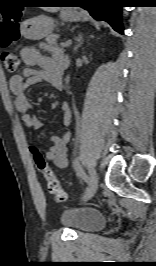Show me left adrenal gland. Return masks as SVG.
Instances as JSON below:
<instances>
[{
    "label": "left adrenal gland",
    "mask_w": 156,
    "mask_h": 266,
    "mask_svg": "<svg viewBox=\"0 0 156 266\" xmlns=\"http://www.w3.org/2000/svg\"><path fill=\"white\" fill-rule=\"evenodd\" d=\"M78 44L75 46L74 51H76L83 43L82 35L77 38Z\"/></svg>",
    "instance_id": "obj_1"
}]
</instances>
